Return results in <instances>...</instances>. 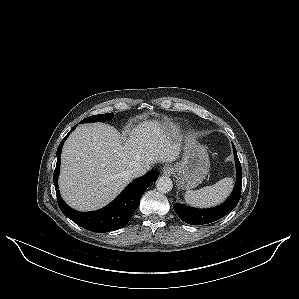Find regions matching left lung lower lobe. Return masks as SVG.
<instances>
[{
	"instance_id": "1",
	"label": "left lung lower lobe",
	"mask_w": 299,
	"mask_h": 299,
	"mask_svg": "<svg viewBox=\"0 0 299 299\" xmlns=\"http://www.w3.org/2000/svg\"><path fill=\"white\" fill-rule=\"evenodd\" d=\"M233 151L236 163L237 179L230 197L223 204L210 209H197L185 206L184 204H174L173 208L181 220L191 225L208 224L223 218L236 207L241 195L242 168L234 144Z\"/></svg>"
}]
</instances>
